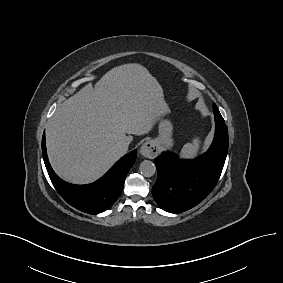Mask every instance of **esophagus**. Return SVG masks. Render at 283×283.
I'll return each mask as SVG.
<instances>
[{"instance_id":"obj_1","label":"esophagus","mask_w":283,"mask_h":283,"mask_svg":"<svg viewBox=\"0 0 283 283\" xmlns=\"http://www.w3.org/2000/svg\"><path fill=\"white\" fill-rule=\"evenodd\" d=\"M158 152V146L154 141L145 142L140 148L141 155L150 159L155 158Z\"/></svg>"}]
</instances>
